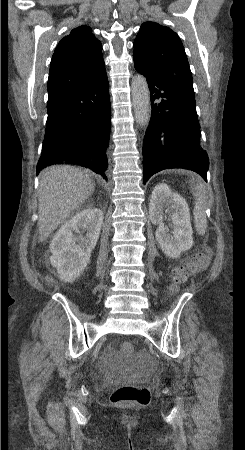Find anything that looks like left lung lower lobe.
Returning a JSON list of instances; mask_svg holds the SVG:
<instances>
[{
    "label": "left lung lower lobe",
    "mask_w": 245,
    "mask_h": 450,
    "mask_svg": "<svg viewBox=\"0 0 245 450\" xmlns=\"http://www.w3.org/2000/svg\"><path fill=\"white\" fill-rule=\"evenodd\" d=\"M136 70L146 77L152 104L143 143L144 184L153 174L170 168L190 169L207 181L209 159L201 147L195 103L166 79Z\"/></svg>",
    "instance_id": "left-lung-lower-lobe-1"
}]
</instances>
